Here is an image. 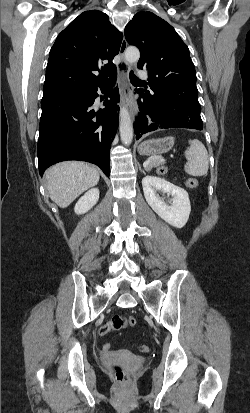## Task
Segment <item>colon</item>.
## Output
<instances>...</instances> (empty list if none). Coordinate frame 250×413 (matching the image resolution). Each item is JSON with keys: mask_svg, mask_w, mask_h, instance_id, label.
Wrapping results in <instances>:
<instances>
[{"mask_svg": "<svg viewBox=\"0 0 250 413\" xmlns=\"http://www.w3.org/2000/svg\"><path fill=\"white\" fill-rule=\"evenodd\" d=\"M167 166H161L158 168V173L163 175L168 172ZM186 185L189 188H196L199 185V181L195 178H190L186 181ZM136 324L135 317L128 315V316H114L111 320H106L100 324V328L98 329V334L100 336H107L110 331L112 330H120L128 327H133ZM114 348V343L110 341H106L102 345L103 352H109L110 349ZM139 351L142 353L149 352V347L147 345H140L138 347ZM113 374L118 382L124 383L127 382L129 379V373L125 367L120 364H115L113 366Z\"/></svg>", "mask_w": 250, "mask_h": 413, "instance_id": "5ec220e1", "label": "colon"}]
</instances>
